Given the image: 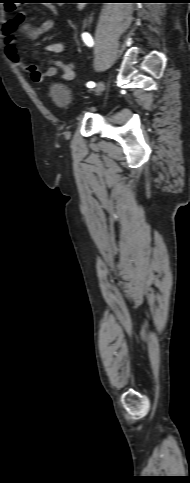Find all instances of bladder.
Returning <instances> with one entry per match:
<instances>
[{
  "label": "bladder",
  "mask_w": 190,
  "mask_h": 483,
  "mask_svg": "<svg viewBox=\"0 0 190 483\" xmlns=\"http://www.w3.org/2000/svg\"><path fill=\"white\" fill-rule=\"evenodd\" d=\"M50 95L54 104L61 109L68 108L74 99V94L70 87L61 82L51 84Z\"/></svg>",
  "instance_id": "31cf9c89"
}]
</instances>
